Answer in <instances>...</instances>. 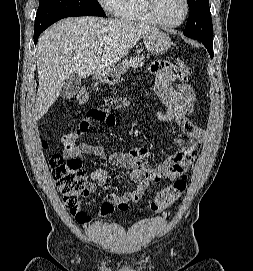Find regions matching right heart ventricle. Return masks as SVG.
Returning <instances> with one entry per match:
<instances>
[{
  "instance_id": "obj_1",
  "label": "right heart ventricle",
  "mask_w": 253,
  "mask_h": 271,
  "mask_svg": "<svg viewBox=\"0 0 253 271\" xmlns=\"http://www.w3.org/2000/svg\"><path fill=\"white\" fill-rule=\"evenodd\" d=\"M114 13L117 17L130 22L155 23L145 9L144 0H119Z\"/></svg>"
}]
</instances>
